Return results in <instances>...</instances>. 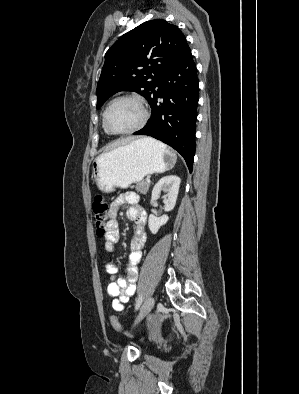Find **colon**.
I'll list each match as a JSON object with an SVG mask.
<instances>
[{
  "mask_svg": "<svg viewBox=\"0 0 299 394\" xmlns=\"http://www.w3.org/2000/svg\"><path fill=\"white\" fill-rule=\"evenodd\" d=\"M93 214H94V224L96 228V233L99 236H103L106 231V224L108 221L109 206L106 198L102 194H97L93 199ZM111 324L116 331H121V324L117 316L113 315L111 317Z\"/></svg>",
  "mask_w": 299,
  "mask_h": 394,
  "instance_id": "1",
  "label": "colon"
}]
</instances>
